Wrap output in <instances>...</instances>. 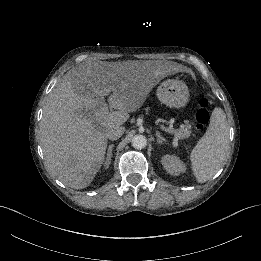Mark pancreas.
<instances>
[{"instance_id": "pancreas-1", "label": "pancreas", "mask_w": 261, "mask_h": 261, "mask_svg": "<svg viewBox=\"0 0 261 261\" xmlns=\"http://www.w3.org/2000/svg\"><path fill=\"white\" fill-rule=\"evenodd\" d=\"M190 128H191V125L186 123V125H181V128H179V129H172V130L169 129L170 130L169 133L174 134L175 137H177V138H179V136H177V133H181L182 138H179V139H185V138L190 137V135H191Z\"/></svg>"}]
</instances>
